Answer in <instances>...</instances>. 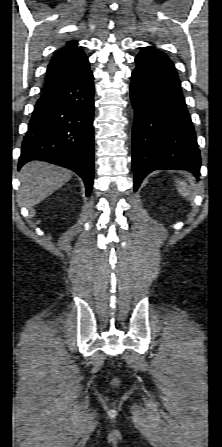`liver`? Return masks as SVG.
Wrapping results in <instances>:
<instances>
[{"label": "liver", "instance_id": "obj_1", "mask_svg": "<svg viewBox=\"0 0 222 447\" xmlns=\"http://www.w3.org/2000/svg\"><path fill=\"white\" fill-rule=\"evenodd\" d=\"M72 177L66 168L41 161L26 163L19 173V196L27 208H32L62 187Z\"/></svg>", "mask_w": 222, "mask_h": 447}]
</instances>
